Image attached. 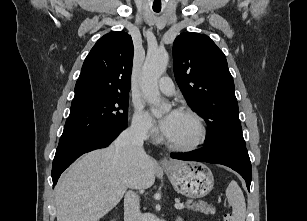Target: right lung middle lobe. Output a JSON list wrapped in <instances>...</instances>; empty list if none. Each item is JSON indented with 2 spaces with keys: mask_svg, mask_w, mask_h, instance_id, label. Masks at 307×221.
<instances>
[{
  "mask_svg": "<svg viewBox=\"0 0 307 221\" xmlns=\"http://www.w3.org/2000/svg\"><path fill=\"white\" fill-rule=\"evenodd\" d=\"M129 94H110L72 102L59 144L127 124Z\"/></svg>",
  "mask_w": 307,
  "mask_h": 221,
  "instance_id": "obj_1",
  "label": "right lung middle lobe"
}]
</instances>
